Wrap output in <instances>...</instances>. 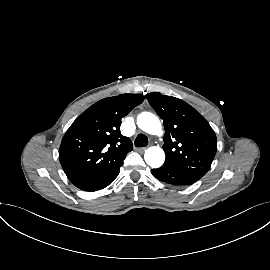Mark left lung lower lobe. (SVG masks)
<instances>
[{"label": "left lung lower lobe", "mask_w": 270, "mask_h": 270, "mask_svg": "<svg viewBox=\"0 0 270 270\" xmlns=\"http://www.w3.org/2000/svg\"><path fill=\"white\" fill-rule=\"evenodd\" d=\"M151 173L160 181L179 186L191 185L199 180L184 170L164 165L158 169H152Z\"/></svg>", "instance_id": "1"}]
</instances>
